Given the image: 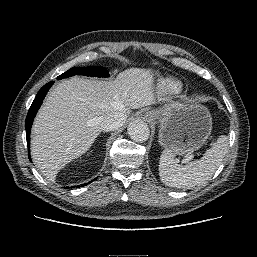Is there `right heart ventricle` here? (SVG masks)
I'll list each match as a JSON object with an SVG mask.
<instances>
[{
    "label": "right heart ventricle",
    "mask_w": 257,
    "mask_h": 257,
    "mask_svg": "<svg viewBox=\"0 0 257 257\" xmlns=\"http://www.w3.org/2000/svg\"><path fill=\"white\" fill-rule=\"evenodd\" d=\"M162 89L165 93L174 95L178 94L182 91L183 87L182 85L172 78H165L161 82Z\"/></svg>",
    "instance_id": "e07e8e85"
}]
</instances>
